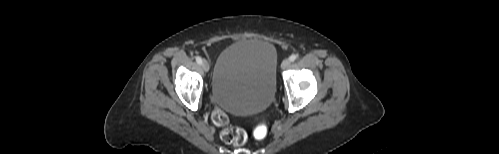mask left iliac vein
I'll list each match as a JSON object with an SVG mask.
<instances>
[{
	"label": "left iliac vein",
	"mask_w": 499,
	"mask_h": 154,
	"mask_svg": "<svg viewBox=\"0 0 499 154\" xmlns=\"http://www.w3.org/2000/svg\"><path fill=\"white\" fill-rule=\"evenodd\" d=\"M291 61L289 59H284L281 63V68L286 69L290 66Z\"/></svg>",
	"instance_id": "1"
}]
</instances>
